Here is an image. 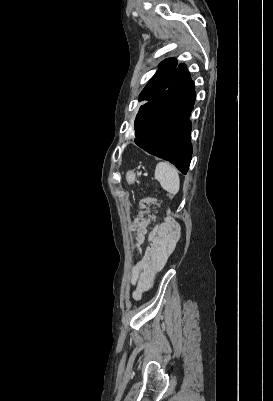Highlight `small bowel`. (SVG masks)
I'll return each instance as SVG.
<instances>
[{"instance_id": "1", "label": "small bowel", "mask_w": 273, "mask_h": 401, "mask_svg": "<svg viewBox=\"0 0 273 401\" xmlns=\"http://www.w3.org/2000/svg\"><path fill=\"white\" fill-rule=\"evenodd\" d=\"M132 221L137 223V243H142L145 238L148 241L143 257L132 268L130 274V286L133 287L132 298L139 300L144 292L152 288L157 274L164 267L174 248L175 241H153L152 234L155 228H160V225L154 227L146 234L143 228L145 224L153 223L154 218L152 215H137L132 218Z\"/></svg>"}]
</instances>
